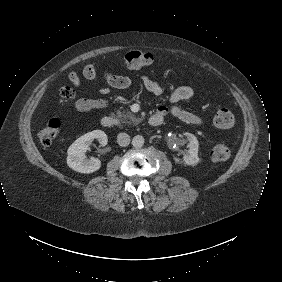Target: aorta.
Instances as JSON below:
<instances>
[{
    "label": "aorta",
    "instance_id": "762f6f07",
    "mask_svg": "<svg viewBox=\"0 0 282 282\" xmlns=\"http://www.w3.org/2000/svg\"><path fill=\"white\" fill-rule=\"evenodd\" d=\"M145 143V139L142 135H136L132 139V145L135 148H141Z\"/></svg>",
    "mask_w": 282,
    "mask_h": 282
}]
</instances>
